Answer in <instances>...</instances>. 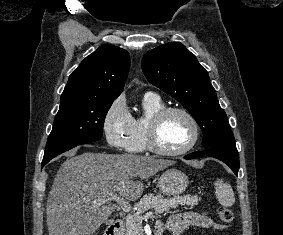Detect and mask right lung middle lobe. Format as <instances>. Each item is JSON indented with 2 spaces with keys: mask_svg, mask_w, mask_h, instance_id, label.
Here are the masks:
<instances>
[{
  "mask_svg": "<svg viewBox=\"0 0 283 235\" xmlns=\"http://www.w3.org/2000/svg\"><path fill=\"white\" fill-rule=\"evenodd\" d=\"M113 101L70 100L61 102L48 137L42 162L78 145L98 141L105 116Z\"/></svg>",
  "mask_w": 283,
  "mask_h": 235,
  "instance_id": "1",
  "label": "right lung middle lobe"
}]
</instances>
